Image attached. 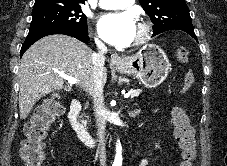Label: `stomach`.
<instances>
[{"mask_svg":"<svg viewBox=\"0 0 227 166\" xmlns=\"http://www.w3.org/2000/svg\"><path fill=\"white\" fill-rule=\"evenodd\" d=\"M165 52L155 44L144 46L136 54L123 58L114 68L121 74L134 75L148 88L160 85L170 72Z\"/></svg>","mask_w":227,"mask_h":166,"instance_id":"0dacf381","label":"stomach"}]
</instances>
